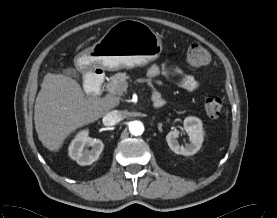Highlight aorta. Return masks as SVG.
<instances>
[{"mask_svg": "<svg viewBox=\"0 0 277 218\" xmlns=\"http://www.w3.org/2000/svg\"><path fill=\"white\" fill-rule=\"evenodd\" d=\"M129 131L132 135L139 136L144 131V126L140 121H133L129 125Z\"/></svg>", "mask_w": 277, "mask_h": 218, "instance_id": "1", "label": "aorta"}]
</instances>
